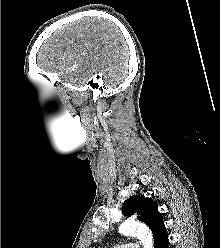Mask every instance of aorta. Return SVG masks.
I'll list each match as a JSON object with an SVG mask.
<instances>
[{"mask_svg": "<svg viewBox=\"0 0 220 248\" xmlns=\"http://www.w3.org/2000/svg\"><path fill=\"white\" fill-rule=\"evenodd\" d=\"M119 233L128 236H136L143 248H153L154 241L150 229L143 223L128 219L119 226Z\"/></svg>", "mask_w": 220, "mask_h": 248, "instance_id": "762f6f07", "label": "aorta"}]
</instances>
